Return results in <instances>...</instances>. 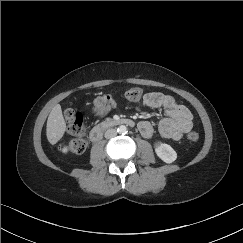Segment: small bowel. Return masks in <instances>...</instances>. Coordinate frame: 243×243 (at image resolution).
Returning a JSON list of instances; mask_svg holds the SVG:
<instances>
[{
  "mask_svg": "<svg viewBox=\"0 0 243 243\" xmlns=\"http://www.w3.org/2000/svg\"><path fill=\"white\" fill-rule=\"evenodd\" d=\"M117 101L111 94H101L94 98L92 102V113L96 117H103L116 108ZM149 107L152 109H162L166 115L158 126L157 133L167 139L179 140L192 127V113L184 105L178 104L176 100L166 94L160 92H151L143 96L139 104V109ZM140 133L151 138L155 134V127L149 121H143L139 124Z\"/></svg>",
  "mask_w": 243,
  "mask_h": 243,
  "instance_id": "1",
  "label": "small bowel"
}]
</instances>
